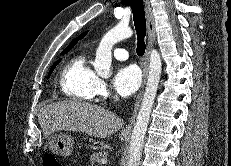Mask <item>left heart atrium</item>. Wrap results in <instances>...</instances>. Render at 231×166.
<instances>
[{
  "mask_svg": "<svg viewBox=\"0 0 231 166\" xmlns=\"http://www.w3.org/2000/svg\"><path fill=\"white\" fill-rule=\"evenodd\" d=\"M112 83L119 95L130 96L141 84V72L135 65L122 66L117 70Z\"/></svg>",
  "mask_w": 231,
  "mask_h": 166,
  "instance_id": "1",
  "label": "left heart atrium"
}]
</instances>
